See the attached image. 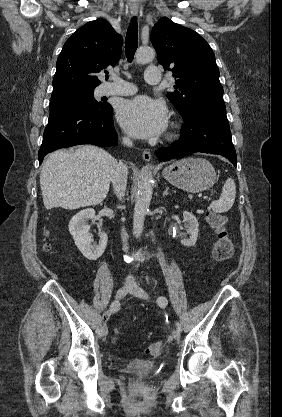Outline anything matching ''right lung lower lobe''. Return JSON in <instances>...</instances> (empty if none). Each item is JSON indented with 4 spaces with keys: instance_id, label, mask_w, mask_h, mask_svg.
<instances>
[{
    "instance_id": "98d812e1",
    "label": "right lung lower lobe",
    "mask_w": 282,
    "mask_h": 417,
    "mask_svg": "<svg viewBox=\"0 0 282 417\" xmlns=\"http://www.w3.org/2000/svg\"><path fill=\"white\" fill-rule=\"evenodd\" d=\"M112 106L71 104L50 111L38 152L39 163L48 153L79 144L100 147L116 144Z\"/></svg>"
}]
</instances>
